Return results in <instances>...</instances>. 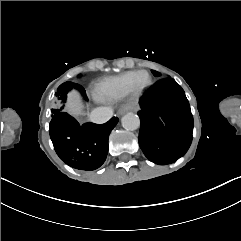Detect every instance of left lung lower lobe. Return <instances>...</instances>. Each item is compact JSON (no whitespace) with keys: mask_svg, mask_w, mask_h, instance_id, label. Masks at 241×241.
Segmentation results:
<instances>
[{"mask_svg":"<svg viewBox=\"0 0 241 241\" xmlns=\"http://www.w3.org/2000/svg\"><path fill=\"white\" fill-rule=\"evenodd\" d=\"M139 145L152 162L164 165L182 157L192 141L193 116L182 87L160 79L139 101Z\"/></svg>","mask_w":241,"mask_h":241,"instance_id":"left-lung-lower-lobe-1","label":"left lung lower lobe"}]
</instances>
